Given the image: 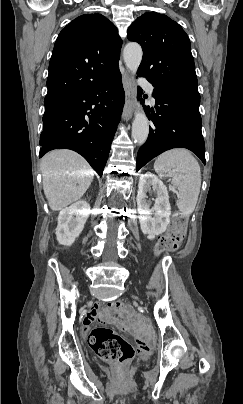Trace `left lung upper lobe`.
<instances>
[{
    "mask_svg": "<svg viewBox=\"0 0 243 404\" xmlns=\"http://www.w3.org/2000/svg\"><path fill=\"white\" fill-rule=\"evenodd\" d=\"M127 38L142 46L138 76L156 86L198 91L190 40L178 23L147 12L131 24Z\"/></svg>",
    "mask_w": 243,
    "mask_h": 404,
    "instance_id": "5c2ea615",
    "label": "left lung upper lobe"
}]
</instances>
